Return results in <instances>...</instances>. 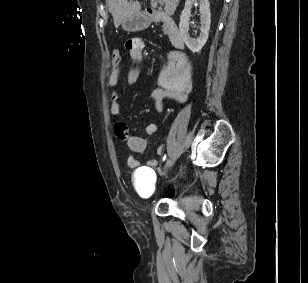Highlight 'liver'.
Instances as JSON below:
<instances>
[{"label":"liver","mask_w":308,"mask_h":283,"mask_svg":"<svg viewBox=\"0 0 308 283\" xmlns=\"http://www.w3.org/2000/svg\"><path fill=\"white\" fill-rule=\"evenodd\" d=\"M165 3V11L167 14L172 15L180 0H161ZM109 12L113 16L114 26L117 28L122 21L140 12L141 4L136 2H128V0H107L106 1Z\"/></svg>","instance_id":"6515ba94"}]
</instances>
